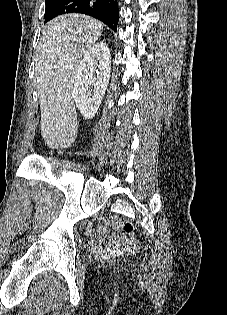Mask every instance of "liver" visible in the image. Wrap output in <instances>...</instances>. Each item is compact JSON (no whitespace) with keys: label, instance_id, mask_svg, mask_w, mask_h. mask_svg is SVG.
Masks as SVG:
<instances>
[{"label":"liver","instance_id":"obj_1","mask_svg":"<svg viewBox=\"0 0 227 315\" xmlns=\"http://www.w3.org/2000/svg\"><path fill=\"white\" fill-rule=\"evenodd\" d=\"M103 24L77 13L49 21L35 56V80L41 111V135L54 148L70 146L77 137L73 84L86 51L102 34Z\"/></svg>","mask_w":227,"mask_h":315}]
</instances>
